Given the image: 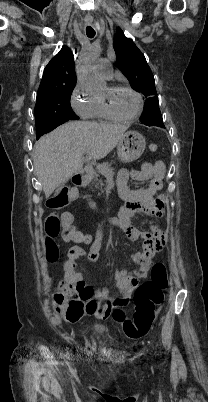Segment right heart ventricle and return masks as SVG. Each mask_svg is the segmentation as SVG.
Wrapping results in <instances>:
<instances>
[{"mask_svg":"<svg viewBox=\"0 0 208 402\" xmlns=\"http://www.w3.org/2000/svg\"><path fill=\"white\" fill-rule=\"evenodd\" d=\"M96 103L94 109V115L91 119L93 124L98 126H106L118 122L115 118H113L108 111L106 110L104 104L100 100L99 95H95Z\"/></svg>","mask_w":208,"mask_h":402,"instance_id":"obj_1","label":"right heart ventricle"}]
</instances>
